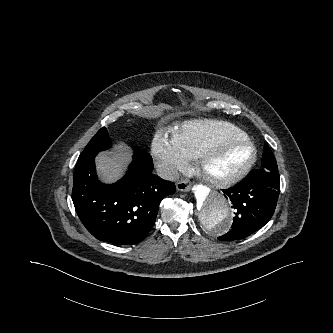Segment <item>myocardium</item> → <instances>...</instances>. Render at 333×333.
<instances>
[{
  "mask_svg": "<svg viewBox=\"0 0 333 333\" xmlns=\"http://www.w3.org/2000/svg\"><path fill=\"white\" fill-rule=\"evenodd\" d=\"M229 142H240L244 144L249 151L247 159L236 170H234L229 174L221 176L210 174L206 170V165L209 158L219 146ZM256 159H257V149L255 144L251 141L249 137H243L239 135H224L217 137L213 139L211 142H209L197 155L195 161L197 169L204 177V179L207 182H209L211 185L222 188V187L231 186L236 182H238L242 177H244L248 173V171L252 168V166L256 162Z\"/></svg>",
  "mask_w": 333,
  "mask_h": 333,
  "instance_id": "obj_1",
  "label": "myocardium"
}]
</instances>
